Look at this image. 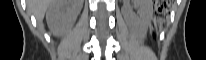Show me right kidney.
<instances>
[{
    "instance_id": "1",
    "label": "right kidney",
    "mask_w": 206,
    "mask_h": 60,
    "mask_svg": "<svg viewBox=\"0 0 206 60\" xmlns=\"http://www.w3.org/2000/svg\"><path fill=\"white\" fill-rule=\"evenodd\" d=\"M80 2L71 0H55L49 6L46 19L49 28L57 35H62L72 27L80 9Z\"/></svg>"
}]
</instances>
